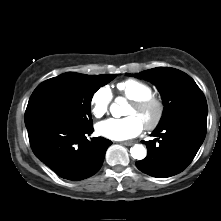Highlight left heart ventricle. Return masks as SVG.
<instances>
[{"instance_id": "1", "label": "left heart ventricle", "mask_w": 221, "mask_h": 221, "mask_svg": "<svg viewBox=\"0 0 221 221\" xmlns=\"http://www.w3.org/2000/svg\"><path fill=\"white\" fill-rule=\"evenodd\" d=\"M126 115L136 116L142 122V124L145 125L154 118L155 110L153 108L138 110L132 105H130L128 110L126 111Z\"/></svg>"}]
</instances>
